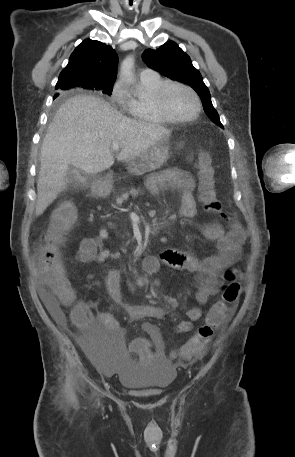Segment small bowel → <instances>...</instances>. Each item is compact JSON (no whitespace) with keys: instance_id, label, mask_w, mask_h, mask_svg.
I'll use <instances>...</instances> for the list:
<instances>
[{"instance_id":"small-bowel-1","label":"small bowel","mask_w":295,"mask_h":457,"mask_svg":"<svg viewBox=\"0 0 295 457\" xmlns=\"http://www.w3.org/2000/svg\"><path fill=\"white\" fill-rule=\"evenodd\" d=\"M147 187L153 194L161 191L178 192L181 195V214L185 217H193L197 213L196 203L193 196L195 183L193 178L185 171L169 169L162 171L152 177ZM203 234L206 238L216 242L217 253L202 260L190 255L187 252L174 248H167L157 256H148L143 261V270L148 274L157 273L163 266L176 270L187 271L199 275V285L195 299L199 305L207 303L208 299L219 292L221 273L232 266L240 257L246 235L240 224L230 220L227 227L219 223H211L203 227ZM109 238L108 230L102 227L96 237H85L81 240L76 259L82 263L93 261L104 262L113 253L106 246ZM45 288L41 290L42 300L50 314L59 322L64 321L58 299L49 287L48 280L43 274ZM105 284L108 293L117 306L129 317L134 319L153 318L162 320L166 316L164 307L152 304H132L126 302L120 289V272L110 268L105 276ZM164 302L174 308L177 306L175 297L168 294L163 295ZM187 319L177 325V331L189 332L193 329V323L202 316L200 306H195L186 311ZM72 319L80 329L84 338H100L102 335H118L121 327L114 316L106 311H99L93 314L86 303H78L72 313ZM143 329L147 332L151 341L141 338L133 341H149L152 345H163L157 327L150 323H143ZM204 352L195 358L202 357Z\"/></svg>"}]
</instances>
